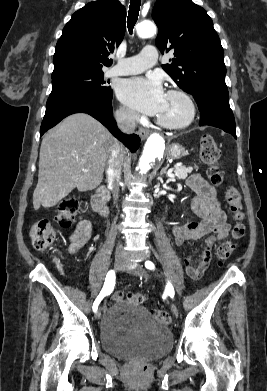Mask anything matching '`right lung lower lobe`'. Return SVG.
Masks as SVG:
<instances>
[{
	"instance_id": "obj_1",
	"label": "right lung lower lobe",
	"mask_w": 267,
	"mask_h": 391,
	"mask_svg": "<svg viewBox=\"0 0 267 391\" xmlns=\"http://www.w3.org/2000/svg\"><path fill=\"white\" fill-rule=\"evenodd\" d=\"M111 102L112 97L106 98L76 92L49 97L40 128V136L70 114L88 113L100 121L116 138L134 152L140 145V138L136 134L126 135L118 130L113 119Z\"/></svg>"
}]
</instances>
